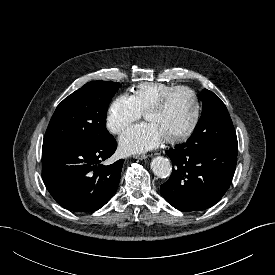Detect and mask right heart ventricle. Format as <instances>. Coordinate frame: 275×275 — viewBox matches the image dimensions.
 Masks as SVG:
<instances>
[{"label": "right heart ventricle", "mask_w": 275, "mask_h": 275, "mask_svg": "<svg viewBox=\"0 0 275 275\" xmlns=\"http://www.w3.org/2000/svg\"><path fill=\"white\" fill-rule=\"evenodd\" d=\"M172 87L174 86L158 82L141 83L132 89L131 97L137 109L145 113L151 104Z\"/></svg>", "instance_id": "1"}]
</instances>
